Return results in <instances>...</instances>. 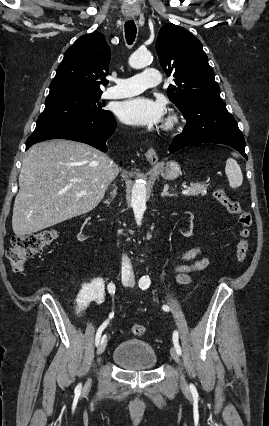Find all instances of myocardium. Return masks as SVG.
<instances>
[{"label": "myocardium", "mask_w": 269, "mask_h": 426, "mask_svg": "<svg viewBox=\"0 0 269 426\" xmlns=\"http://www.w3.org/2000/svg\"><path fill=\"white\" fill-rule=\"evenodd\" d=\"M180 116L176 113L171 114L165 124L166 131L174 130L180 124Z\"/></svg>", "instance_id": "myocardium-1"}]
</instances>
